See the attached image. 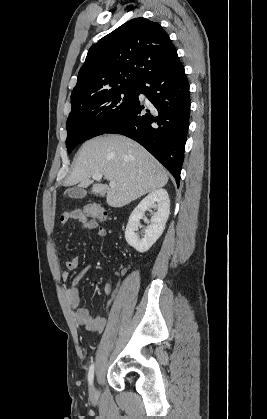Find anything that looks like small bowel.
<instances>
[{
	"label": "small bowel",
	"mask_w": 267,
	"mask_h": 419,
	"mask_svg": "<svg viewBox=\"0 0 267 419\" xmlns=\"http://www.w3.org/2000/svg\"><path fill=\"white\" fill-rule=\"evenodd\" d=\"M61 223L64 225H68L71 222H77L80 224L82 230L89 231L95 230L98 237L106 238L107 237V229L103 226H100L96 220L86 218L80 210H72L62 214ZM79 266V258L74 256L68 259L65 263V270L61 272V279L63 281H67L69 278V274L71 271L77 269ZM89 273V268H85L81 270L73 279L71 287H69L66 291V295L69 301L70 306L75 310L74 318L77 324L84 326L87 330L92 332H101L106 324H107V317L99 316V317H92L86 308H79L80 304V293H79V283L80 281ZM119 283L115 287L111 284H106L104 287V291L108 296V301L106 304V309L109 310L115 297L117 294V287Z\"/></svg>",
	"instance_id": "1"
}]
</instances>
